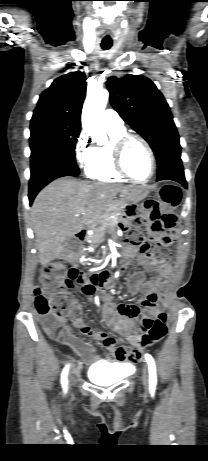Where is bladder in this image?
Instances as JSON below:
<instances>
[{
    "label": "bladder",
    "mask_w": 208,
    "mask_h": 461,
    "mask_svg": "<svg viewBox=\"0 0 208 461\" xmlns=\"http://www.w3.org/2000/svg\"><path fill=\"white\" fill-rule=\"evenodd\" d=\"M87 376L92 382L107 386L121 381L126 375L122 365L100 361L89 368Z\"/></svg>",
    "instance_id": "bladder-1"
}]
</instances>
